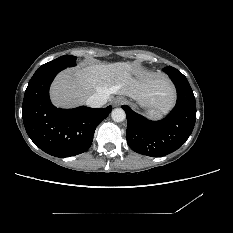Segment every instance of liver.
<instances>
[{"label":"liver","mask_w":233,"mask_h":233,"mask_svg":"<svg viewBox=\"0 0 233 233\" xmlns=\"http://www.w3.org/2000/svg\"><path fill=\"white\" fill-rule=\"evenodd\" d=\"M125 95L143 105L169 109L175 99L168 79L160 74L142 73L128 62L93 63L57 75L50 89L53 104L61 108L82 105L95 93Z\"/></svg>","instance_id":"liver-1"}]
</instances>
